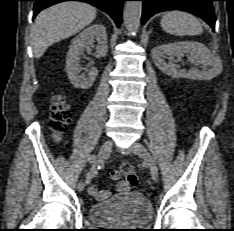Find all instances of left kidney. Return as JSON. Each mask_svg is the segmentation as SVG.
<instances>
[{
  "label": "left kidney",
  "mask_w": 234,
  "mask_h": 231,
  "mask_svg": "<svg viewBox=\"0 0 234 231\" xmlns=\"http://www.w3.org/2000/svg\"><path fill=\"white\" fill-rule=\"evenodd\" d=\"M184 53H190L191 60L203 65L202 71L192 68L188 73L179 72L173 63ZM170 57L166 63L165 57ZM152 58L156 66L166 75L175 78H189L193 80H211L222 72V61L213 55L202 43L196 41H180L166 45H159L152 50Z\"/></svg>",
  "instance_id": "5707ae66"
}]
</instances>
